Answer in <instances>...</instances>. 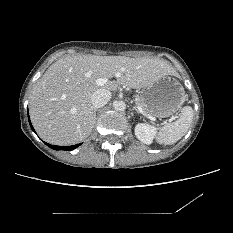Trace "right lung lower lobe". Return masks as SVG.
<instances>
[{
  "label": "right lung lower lobe",
  "instance_id": "98d812e1",
  "mask_svg": "<svg viewBox=\"0 0 233 233\" xmlns=\"http://www.w3.org/2000/svg\"><path fill=\"white\" fill-rule=\"evenodd\" d=\"M28 120H29V124H30L32 130L35 132L32 124H31L29 114H28ZM45 144L48 145L50 148L55 149V150H68V151L73 150V149H75V148H77L78 146L81 145V143L73 145V146H55V145H51V144H47V143H45Z\"/></svg>",
  "mask_w": 233,
  "mask_h": 233
}]
</instances>
